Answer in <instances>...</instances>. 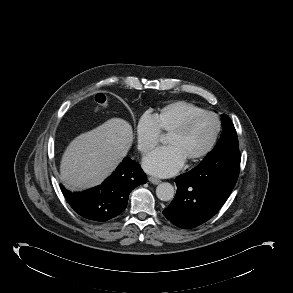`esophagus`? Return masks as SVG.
<instances>
[{
    "mask_svg": "<svg viewBox=\"0 0 293 293\" xmlns=\"http://www.w3.org/2000/svg\"><path fill=\"white\" fill-rule=\"evenodd\" d=\"M148 181H149L150 183H152V184H155V185L161 183V180L158 179V178H155V177H149V178H148Z\"/></svg>",
    "mask_w": 293,
    "mask_h": 293,
    "instance_id": "34e87169",
    "label": "esophagus"
}]
</instances>
